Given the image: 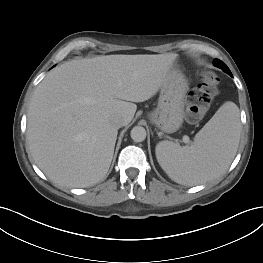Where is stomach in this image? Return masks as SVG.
I'll return each mask as SVG.
<instances>
[{"mask_svg": "<svg viewBox=\"0 0 263 263\" xmlns=\"http://www.w3.org/2000/svg\"><path fill=\"white\" fill-rule=\"evenodd\" d=\"M187 91L188 82L183 73L172 71L161 87L157 108L148 114L150 121L162 132L174 133L181 127Z\"/></svg>", "mask_w": 263, "mask_h": 263, "instance_id": "1", "label": "stomach"}]
</instances>
